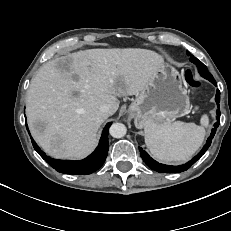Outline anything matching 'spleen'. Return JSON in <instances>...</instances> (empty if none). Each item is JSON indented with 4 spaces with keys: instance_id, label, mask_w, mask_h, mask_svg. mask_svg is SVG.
<instances>
[{
    "instance_id": "spleen-1",
    "label": "spleen",
    "mask_w": 231,
    "mask_h": 231,
    "mask_svg": "<svg viewBox=\"0 0 231 231\" xmlns=\"http://www.w3.org/2000/svg\"><path fill=\"white\" fill-rule=\"evenodd\" d=\"M207 115L201 118V126L175 121L165 124H149L145 127V143L152 156L163 162L188 160L202 145Z\"/></svg>"
}]
</instances>
